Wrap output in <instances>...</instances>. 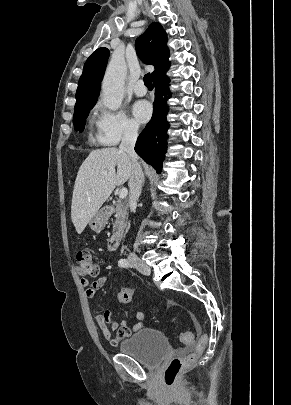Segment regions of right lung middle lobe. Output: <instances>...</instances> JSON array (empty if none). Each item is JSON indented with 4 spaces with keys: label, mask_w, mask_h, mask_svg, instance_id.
Listing matches in <instances>:
<instances>
[{
    "label": "right lung middle lobe",
    "mask_w": 291,
    "mask_h": 405,
    "mask_svg": "<svg viewBox=\"0 0 291 405\" xmlns=\"http://www.w3.org/2000/svg\"><path fill=\"white\" fill-rule=\"evenodd\" d=\"M92 108L93 107L74 112L73 124L75 126V130H78L80 132L83 131L85 122H86V118L89 114V110Z\"/></svg>",
    "instance_id": "1"
}]
</instances>
